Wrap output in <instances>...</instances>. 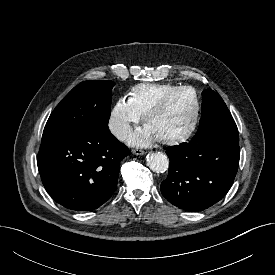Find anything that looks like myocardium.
I'll return each instance as SVG.
<instances>
[{
    "instance_id": "1",
    "label": "myocardium",
    "mask_w": 275,
    "mask_h": 275,
    "mask_svg": "<svg viewBox=\"0 0 275 275\" xmlns=\"http://www.w3.org/2000/svg\"><path fill=\"white\" fill-rule=\"evenodd\" d=\"M182 91H191L194 95L195 108H194L193 117L191 119L190 124L185 129V131H183L179 135H176L173 137H168V138L158 139L159 142H161L163 144L174 145V144L182 143V142L186 141L195 131L198 121H199V116H200V111H201L200 96H199L197 90L192 86H187V85L178 86V87L170 90L166 94H164L159 99V101L154 106H152L150 108V110L145 115V122L148 123L152 117H154L155 115L160 113L166 107V105L168 104V102L174 95H176L177 93L182 92Z\"/></svg>"
}]
</instances>
